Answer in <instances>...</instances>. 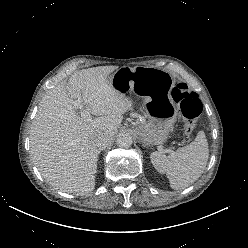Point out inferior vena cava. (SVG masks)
Listing matches in <instances>:
<instances>
[{
  "mask_svg": "<svg viewBox=\"0 0 248 248\" xmlns=\"http://www.w3.org/2000/svg\"><path fill=\"white\" fill-rule=\"evenodd\" d=\"M111 141V138L106 134H100L93 139V145L98 150L105 149Z\"/></svg>",
  "mask_w": 248,
  "mask_h": 248,
  "instance_id": "inferior-vena-cava-1",
  "label": "inferior vena cava"
}]
</instances>
